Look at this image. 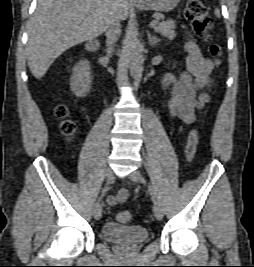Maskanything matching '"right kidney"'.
Wrapping results in <instances>:
<instances>
[{
    "mask_svg": "<svg viewBox=\"0 0 254 267\" xmlns=\"http://www.w3.org/2000/svg\"><path fill=\"white\" fill-rule=\"evenodd\" d=\"M92 78L90 64L87 60L77 63L73 70L70 80L72 93L77 97H85L90 92Z\"/></svg>",
    "mask_w": 254,
    "mask_h": 267,
    "instance_id": "1",
    "label": "right kidney"
}]
</instances>
